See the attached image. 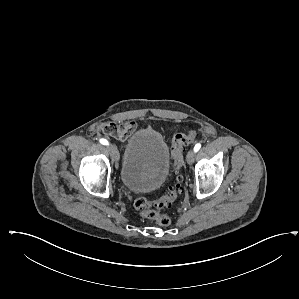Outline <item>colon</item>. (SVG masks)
I'll return each instance as SVG.
<instances>
[{
	"label": "colon",
	"instance_id": "colon-1",
	"mask_svg": "<svg viewBox=\"0 0 299 299\" xmlns=\"http://www.w3.org/2000/svg\"><path fill=\"white\" fill-rule=\"evenodd\" d=\"M107 125V124H106ZM104 125V129L106 127ZM198 132L192 130L186 134H177L172 140L171 155L173 158V168L178 173L183 165V151L184 147L193 144L197 138ZM182 177L177 175L176 184L165 195L148 200L144 197H139L134 202V207L139 213L148 219L154 220L160 226H167L170 224V217L161 211L172 205V203L180 195Z\"/></svg>",
	"mask_w": 299,
	"mask_h": 299
}]
</instances>
